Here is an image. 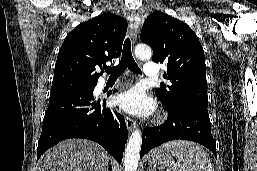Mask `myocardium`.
I'll return each mask as SVG.
<instances>
[{"label":"myocardium","mask_w":257,"mask_h":171,"mask_svg":"<svg viewBox=\"0 0 257 171\" xmlns=\"http://www.w3.org/2000/svg\"><path fill=\"white\" fill-rule=\"evenodd\" d=\"M163 119V116H161V115H159L158 117H157V121H161Z\"/></svg>","instance_id":"f54148a6"}]
</instances>
